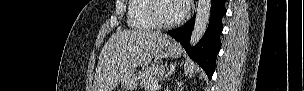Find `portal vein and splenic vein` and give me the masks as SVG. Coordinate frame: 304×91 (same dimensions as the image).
<instances>
[{"mask_svg":"<svg viewBox=\"0 0 304 91\" xmlns=\"http://www.w3.org/2000/svg\"><path fill=\"white\" fill-rule=\"evenodd\" d=\"M160 86H158V84H154L153 86H151L150 91H156Z\"/></svg>","mask_w":304,"mask_h":91,"instance_id":"portal-vein-and-splenic-vein-1","label":"portal vein and splenic vein"}]
</instances>
